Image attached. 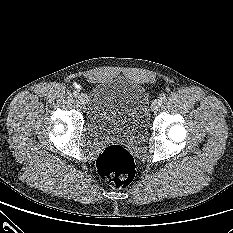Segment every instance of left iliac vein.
Wrapping results in <instances>:
<instances>
[{
  "label": "left iliac vein",
  "instance_id": "obj_1",
  "mask_svg": "<svg viewBox=\"0 0 233 233\" xmlns=\"http://www.w3.org/2000/svg\"><path fill=\"white\" fill-rule=\"evenodd\" d=\"M161 104L162 102L160 99H155L151 105L152 111H157L160 108Z\"/></svg>",
  "mask_w": 233,
  "mask_h": 233
}]
</instances>
